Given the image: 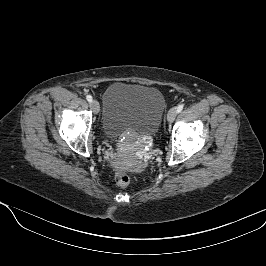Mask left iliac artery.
Wrapping results in <instances>:
<instances>
[{
    "instance_id": "left-iliac-artery-1",
    "label": "left iliac artery",
    "mask_w": 266,
    "mask_h": 266,
    "mask_svg": "<svg viewBox=\"0 0 266 266\" xmlns=\"http://www.w3.org/2000/svg\"><path fill=\"white\" fill-rule=\"evenodd\" d=\"M183 110V105H179L176 107L177 113H180Z\"/></svg>"
}]
</instances>
